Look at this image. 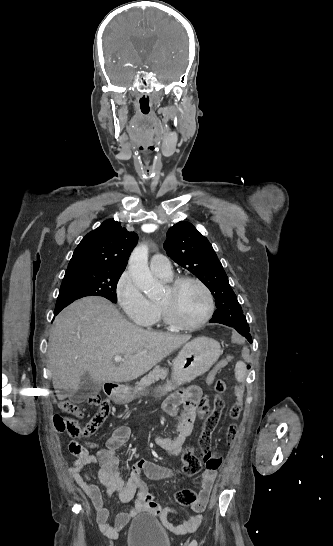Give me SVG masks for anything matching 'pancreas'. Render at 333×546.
I'll use <instances>...</instances> for the list:
<instances>
[{"label":"pancreas","instance_id":"obj_1","mask_svg":"<svg viewBox=\"0 0 333 546\" xmlns=\"http://www.w3.org/2000/svg\"><path fill=\"white\" fill-rule=\"evenodd\" d=\"M167 376V370L156 366L148 375L144 376L140 382L136 383V386L133 390L132 397L137 393H143L147 387H149L154 382L164 379Z\"/></svg>","mask_w":333,"mask_h":546}]
</instances>
